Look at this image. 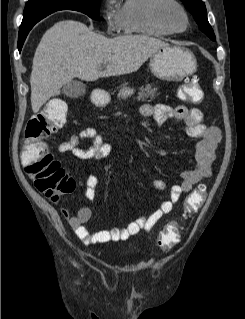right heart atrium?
<instances>
[{
  "instance_id": "d8ad5b80",
  "label": "right heart atrium",
  "mask_w": 245,
  "mask_h": 319,
  "mask_svg": "<svg viewBox=\"0 0 245 319\" xmlns=\"http://www.w3.org/2000/svg\"><path fill=\"white\" fill-rule=\"evenodd\" d=\"M104 15L109 32H117L120 30L118 12L112 9V0H104Z\"/></svg>"
}]
</instances>
